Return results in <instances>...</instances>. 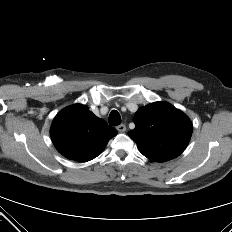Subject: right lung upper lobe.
Here are the masks:
<instances>
[{
    "label": "right lung upper lobe",
    "mask_w": 232,
    "mask_h": 232,
    "mask_svg": "<svg viewBox=\"0 0 232 232\" xmlns=\"http://www.w3.org/2000/svg\"><path fill=\"white\" fill-rule=\"evenodd\" d=\"M50 134L56 149L63 156L87 162L103 151L117 130L95 116L87 106L75 104L55 116Z\"/></svg>",
    "instance_id": "cb5924a9"
}]
</instances>
